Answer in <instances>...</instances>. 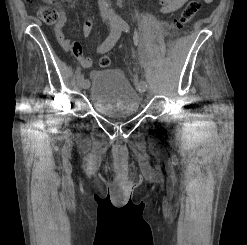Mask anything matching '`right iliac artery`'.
<instances>
[{"instance_id":"obj_1","label":"right iliac artery","mask_w":247,"mask_h":245,"mask_svg":"<svg viewBox=\"0 0 247 245\" xmlns=\"http://www.w3.org/2000/svg\"><path fill=\"white\" fill-rule=\"evenodd\" d=\"M121 32H122V29L120 28V26L118 25L112 26L109 36L100 45V47L98 48V52L104 53L112 49V47L116 44V42L120 38ZM78 80H79L78 81L79 85H83L85 83L84 82L85 79L83 75L79 77Z\"/></svg>"}]
</instances>
